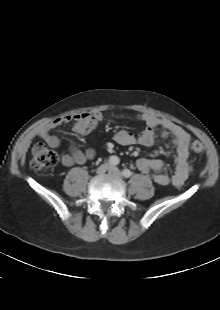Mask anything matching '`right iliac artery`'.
<instances>
[{"label": "right iliac artery", "instance_id": "1", "mask_svg": "<svg viewBox=\"0 0 220 310\" xmlns=\"http://www.w3.org/2000/svg\"><path fill=\"white\" fill-rule=\"evenodd\" d=\"M109 163L113 166L118 165L119 164V158L117 156H111L109 158Z\"/></svg>", "mask_w": 220, "mask_h": 310}]
</instances>
